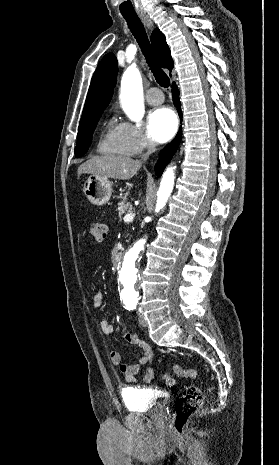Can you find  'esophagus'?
I'll use <instances>...</instances> for the list:
<instances>
[{
    "label": "esophagus",
    "instance_id": "esophagus-1",
    "mask_svg": "<svg viewBox=\"0 0 279 465\" xmlns=\"http://www.w3.org/2000/svg\"><path fill=\"white\" fill-rule=\"evenodd\" d=\"M139 17H140V19L142 20V22L144 23V25H145L148 29H152V27H153V22H152V20L149 18L148 15H146V14H140Z\"/></svg>",
    "mask_w": 279,
    "mask_h": 465
}]
</instances>
